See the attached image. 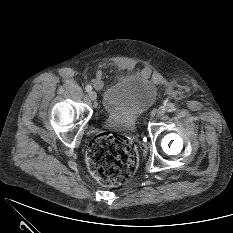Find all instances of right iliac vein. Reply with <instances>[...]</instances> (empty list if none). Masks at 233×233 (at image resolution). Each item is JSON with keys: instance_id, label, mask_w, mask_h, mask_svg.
<instances>
[{"instance_id": "obj_1", "label": "right iliac vein", "mask_w": 233, "mask_h": 233, "mask_svg": "<svg viewBox=\"0 0 233 233\" xmlns=\"http://www.w3.org/2000/svg\"><path fill=\"white\" fill-rule=\"evenodd\" d=\"M89 98H90L91 100H96V98H97L96 92L90 91V92H89Z\"/></svg>"}]
</instances>
